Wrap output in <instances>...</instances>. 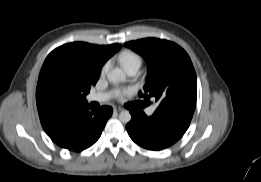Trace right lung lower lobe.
<instances>
[{
	"label": "right lung lower lobe",
	"instance_id": "1",
	"mask_svg": "<svg viewBox=\"0 0 261 182\" xmlns=\"http://www.w3.org/2000/svg\"><path fill=\"white\" fill-rule=\"evenodd\" d=\"M113 109L103 106L98 111L89 110L88 106L74 109L48 136L62 148L82 151L94 144L100 137Z\"/></svg>",
	"mask_w": 261,
	"mask_h": 182
}]
</instances>
